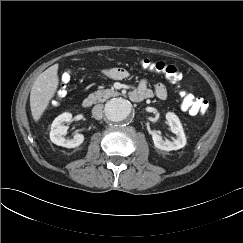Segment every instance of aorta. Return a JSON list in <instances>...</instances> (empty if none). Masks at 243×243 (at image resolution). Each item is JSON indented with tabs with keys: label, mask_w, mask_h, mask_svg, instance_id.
<instances>
[{
	"label": "aorta",
	"mask_w": 243,
	"mask_h": 243,
	"mask_svg": "<svg viewBox=\"0 0 243 243\" xmlns=\"http://www.w3.org/2000/svg\"><path fill=\"white\" fill-rule=\"evenodd\" d=\"M131 104L122 98H114L105 105V116L111 122H123L131 113Z\"/></svg>",
	"instance_id": "obj_1"
}]
</instances>
